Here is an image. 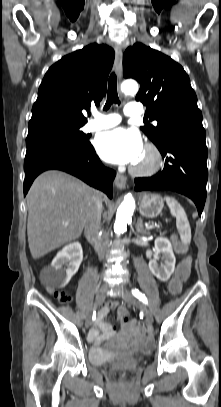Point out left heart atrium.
I'll return each instance as SVG.
<instances>
[{
  "label": "left heart atrium",
  "instance_id": "left-heart-atrium-1",
  "mask_svg": "<svg viewBox=\"0 0 221 407\" xmlns=\"http://www.w3.org/2000/svg\"><path fill=\"white\" fill-rule=\"evenodd\" d=\"M96 148L102 158L115 164H135L144 150L138 132L122 127L100 134Z\"/></svg>",
  "mask_w": 221,
  "mask_h": 407
}]
</instances>
